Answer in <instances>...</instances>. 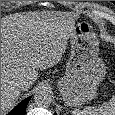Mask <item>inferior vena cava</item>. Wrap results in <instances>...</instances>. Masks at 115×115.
Masks as SVG:
<instances>
[{"mask_svg": "<svg viewBox=\"0 0 115 115\" xmlns=\"http://www.w3.org/2000/svg\"><path fill=\"white\" fill-rule=\"evenodd\" d=\"M27 85H28V84H26L25 81L19 80V81H16V82H15V85H14V86H15L17 89H19V90H24Z\"/></svg>", "mask_w": 115, "mask_h": 115, "instance_id": "1", "label": "inferior vena cava"}]
</instances>
